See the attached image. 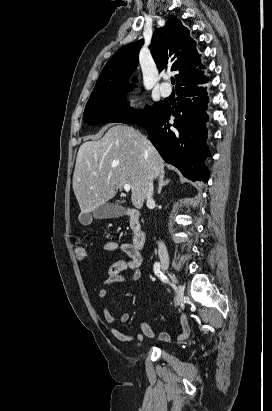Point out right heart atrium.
I'll list each match as a JSON object with an SVG mask.
<instances>
[{"label": "right heart atrium", "instance_id": "d8ad5b80", "mask_svg": "<svg viewBox=\"0 0 272 411\" xmlns=\"http://www.w3.org/2000/svg\"><path fill=\"white\" fill-rule=\"evenodd\" d=\"M140 97L139 96H129L125 99L124 105L128 109H134L139 105Z\"/></svg>", "mask_w": 272, "mask_h": 411}]
</instances>
